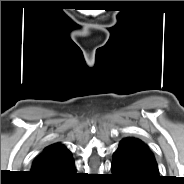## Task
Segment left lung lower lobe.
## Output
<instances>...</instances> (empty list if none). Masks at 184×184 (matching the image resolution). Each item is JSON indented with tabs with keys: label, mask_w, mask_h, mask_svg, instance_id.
Wrapping results in <instances>:
<instances>
[{
	"label": "left lung lower lobe",
	"mask_w": 184,
	"mask_h": 184,
	"mask_svg": "<svg viewBox=\"0 0 184 184\" xmlns=\"http://www.w3.org/2000/svg\"><path fill=\"white\" fill-rule=\"evenodd\" d=\"M112 176L123 184H157L158 166L150 150L133 140H122L114 152Z\"/></svg>",
	"instance_id": "left-lung-lower-lobe-1"
}]
</instances>
